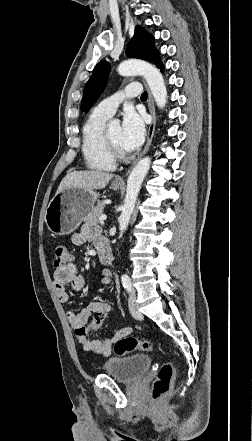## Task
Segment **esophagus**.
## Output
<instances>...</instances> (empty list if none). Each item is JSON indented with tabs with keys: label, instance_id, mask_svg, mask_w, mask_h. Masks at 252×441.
Listing matches in <instances>:
<instances>
[{
	"label": "esophagus",
	"instance_id": "34e87169",
	"mask_svg": "<svg viewBox=\"0 0 252 441\" xmlns=\"http://www.w3.org/2000/svg\"><path fill=\"white\" fill-rule=\"evenodd\" d=\"M144 84H145V87L148 90V109H149V112H150V115H151V123H150L149 128H148V135H147V141H146L145 147H144L143 151L141 152V154L138 156V158L134 161L132 166L129 168V170L127 171L126 175H128L130 173L131 169L137 163V161L143 155H145L147 153V151L149 150L150 145L152 143L153 136H154L155 127H156V112H155L154 100H153L152 94H151L150 90L148 89V87H147L145 82H144ZM116 181L119 182V183H124V177H119V178L116 179Z\"/></svg>",
	"mask_w": 252,
	"mask_h": 441
}]
</instances>
